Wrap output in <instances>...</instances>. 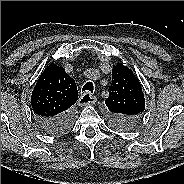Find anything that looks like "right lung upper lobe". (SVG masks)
Here are the masks:
<instances>
[{
	"instance_id": "cb5924a9",
	"label": "right lung upper lobe",
	"mask_w": 184,
	"mask_h": 184,
	"mask_svg": "<svg viewBox=\"0 0 184 184\" xmlns=\"http://www.w3.org/2000/svg\"><path fill=\"white\" fill-rule=\"evenodd\" d=\"M77 99L78 90L73 78L62 67L51 63L32 92V111L36 118L57 117L68 112Z\"/></svg>"
}]
</instances>
